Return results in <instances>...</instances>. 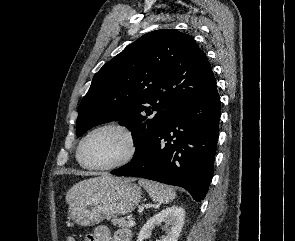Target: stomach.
I'll return each mask as SVG.
<instances>
[{
	"label": "stomach",
	"instance_id": "1",
	"mask_svg": "<svg viewBox=\"0 0 295 241\" xmlns=\"http://www.w3.org/2000/svg\"><path fill=\"white\" fill-rule=\"evenodd\" d=\"M141 198L142 190L138 185L120 179L76 196L70 203L68 216L80 226H94L105 218L132 212Z\"/></svg>",
	"mask_w": 295,
	"mask_h": 241
}]
</instances>
